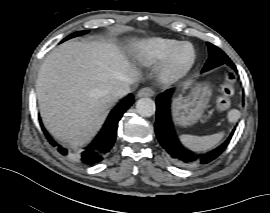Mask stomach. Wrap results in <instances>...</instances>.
<instances>
[{
  "mask_svg": "<svg viewBox=\"0 0 270 213\" xmlns=\"http://www.w3.org/2000/svg\"><path fill=\"white\" fill-rule=\"evenodd\" d=\"M209 86L197 84L191 87L187 95H179L172 102L174 122L181 126H190L202 116L210 96Z\"/></svg>",
  "mask_w": 270,
  "mask_h": 213,
  "instance_id": "stomach-1",
  "label": "stomach"
}]
</instances>
